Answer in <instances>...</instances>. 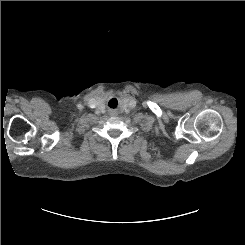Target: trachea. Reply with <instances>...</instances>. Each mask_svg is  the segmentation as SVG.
Returning <instances> with one entry per match:
<instances>
[{
	"mask_svg": "<svg viewBox=\"0 0 245 245\" xmlns=\"http://www.w3.org/2000/svg\"><path fill=\"white\" fill-rule=\"evenodd\" d=\"M117 106V99L116 98H112L109 102V107L111 108H115Z\"/></svg>",
	"mask_w": 245,
	"mask_h": 245,
	"instance_id": "trachea-1",
	"label": "trachea"
}]
</instances>
